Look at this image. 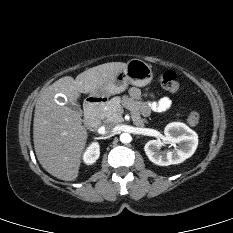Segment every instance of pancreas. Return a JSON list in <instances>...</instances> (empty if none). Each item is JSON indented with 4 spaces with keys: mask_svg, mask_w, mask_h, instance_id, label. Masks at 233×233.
<instances>
[{
    "mask_svg": "<svg viewBox=\"0 0 233 233\" xmlns=\"http://www.w3.org/2000/svg\"><path fill=\"white\" fill-rule=\"evenodd\" d=\"M120 97L112 98L106 105L105 109L100 113V117L107 123H120L122 118V106Z\"/></svg>",
    "mask_w": 233,
    "mask_h": 233,
    "instance_id": "1",
    "label": "pancreas"
}]
</instances>
